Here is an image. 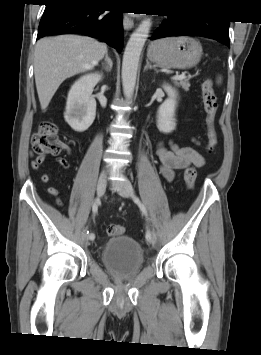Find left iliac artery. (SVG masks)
<instances>
[{"label":"left iliac artery","mask_w":261,"mask_h":355,"mask_svg":"<svg viewBox=\"0 0 261 355\" xmlns=\"http://www.w3.org/2000/svg\"><path fill=\"white\" fill-rule=\"evenodd\" d=\"M134 201H135L136 204H138V206L140 207V209H141V211L143 212V214H144L145 216H147L146 208H145L144 205L141 203V201L139 200V198H138V197H134ZM145 237H146V240H147L148 242H151L153 235L151 234V231H150L149 229H147Z\"/></svg>","instance_id":"44dca946"}]
</instances>
